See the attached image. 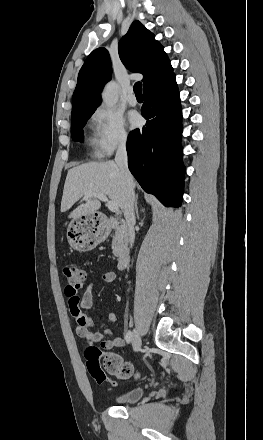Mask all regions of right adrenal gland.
I'll use <instances>...</instances> for the list:
<instances>
[{
	"instance_id": "obj_1",
	"label": "right adrenal gland",
	"mask_w": 263,
	"mask_h": 440,
	"mask_svg": "<svg viewBox=\"0 0 263 440\" xmlns=\"http://www.w3.org/2000/svg\"><path fill=\"white\" fill-rule=\"evenodd\" d=\"M135 212L138 217V195H136V197H135Z\"/></svg>"
}]
</instances>
